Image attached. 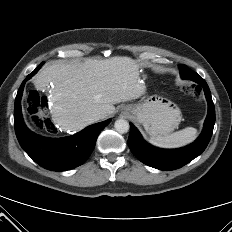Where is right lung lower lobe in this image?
<instances>
[{"mask_svg": "<svg viewBox=\"0 0 232 232\" xmlns=\"http://www.w3.org/2000/svg\"><path fill=\"white\" fill-rule=\"evenodd\" d=\"M40 64L27 79L41 67ZM25 79L16 96L14 127L17 139L25 152L40 166L52 171H64L82 165L92 153L98 135L110 120L93 124L81 132L65 138H45L31 132L24 124L21 114V96Z\"/></svg>", "mask_w": 232, "mask_h": 232, "instance_id": "obj_1", "label": "right lung lower lobe"}]
</instances>
